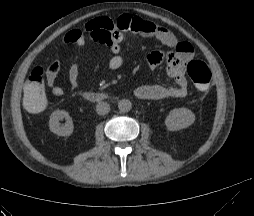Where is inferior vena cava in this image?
Listing matches in <instances>:
<instances>
[{"label": "inferior vena cava", "mask_w": 254, "mask_h": 216, "mask_svg": "<svg viewBox=\"0 0 254 216\" xmlns=\"http://www.w3.org/2000/svg\"><path fill=\"white\" fill-rule=\"evenodd\" d=\"M110 111V106L107 102H98L96 105V112L99 115H105Z\"/></svg>", "instance_id": "602c4592"}]
</instances>
